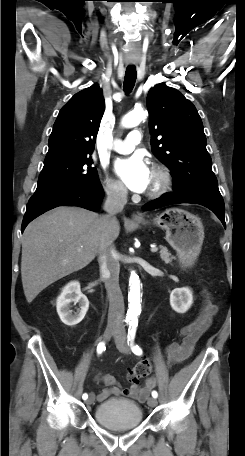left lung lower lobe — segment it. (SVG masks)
Listing matches in <instances>:
<instances>
[{
  "label": "left lung lower lobe",
  "mask_w": 245,
  "mask_h": 456,
  "mask_svg": "<svg viewBox=\"0 0 245 456\" xmlns=\"http://www.w3.org/2000/svg\"><path fill=\"white\" fill-rule=\"evenodd\" d=\"M179 203H195L209 208L221 220L224 227H226L224 218L225 206L222 196L199 193L168 192L160 198L145 204L143 206V210H152Z\"/></svg>",
  "instance_id": "0a47b994"
}]
</instances>
